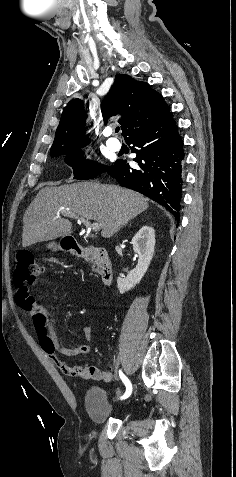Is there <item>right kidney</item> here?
<instances>
[{
    "label": "right kidney",
    "instance_id": "obj_1",
    "mask_svg": "<svg viewBox=\"0 0 236 477\" xmlns=\"http://www.w3.org/2000/svg\"><path fill=\"white\" fill-rule=\"evenodd\" d=\"M131 243L134 252L138 255V264L126 277L117 278V287L121 294L135 287L146 273L154 254V229L150 226H143L132 238Z\"/></svg>",
    "mask_w": 236,
    "mask_h": 477
}]
</instances>
